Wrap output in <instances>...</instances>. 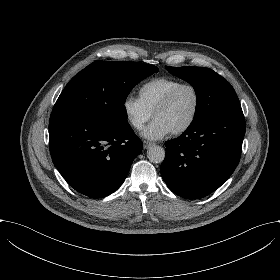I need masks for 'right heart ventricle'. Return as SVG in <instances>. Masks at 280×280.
I'll list each match as a JSON object with an SVG mask.
<instances>
[{
    "label": "right heart ventricle",
    "mask_w": 280,
    "mask_h": 280,
    "mask_svg": "<svg viewBox=\"0 0 280 280\" xmlns=\"http://www.w3.org/2000/svg\"><path fill=\"white\" fill-rule=\"evenodd\" d=\"M182 82L178 78L167 76L151 78L138 88V98L153 113L156 106Z\"/></svg>",
    "instance_id": "e07e8e85"
}]
</instances>
